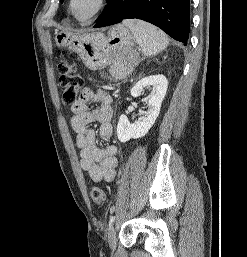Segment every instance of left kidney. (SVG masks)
Masks as SVG:
<instances>
[{
    "mask_svg": "<svg viewBox=\"0 0 247 257\" xmlns=\"http://www.w3.org/2000/svg\"><path fill=\"white\" fill-rule=\"evenodd\" d=\"M153 86L156 90L152 93L147 100L148 110L145 116L140 117L135 123L131 124L125 115H121L117 125V136L120 142H127L130 139H137L145 136L149 129L157 119L161 103L166 95L168 88V81L162 74L144 77L139 80L131 89V95L138 97L143 90Z\"/></svg>",
    "mask_w": 247,
    "mask_h": 257,
    "instance_id": "left-kidney-1",
    "label": "left kidney"
}]
</instances>
